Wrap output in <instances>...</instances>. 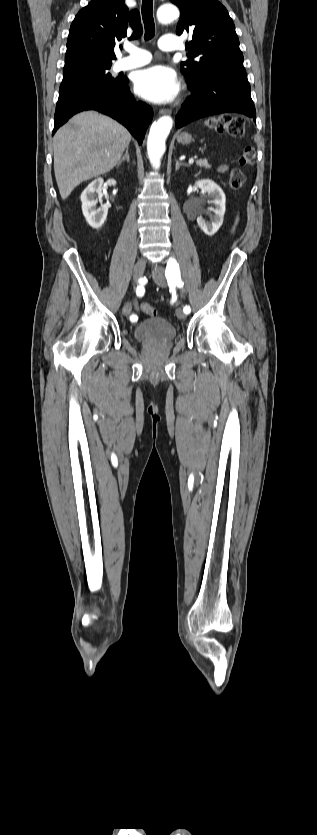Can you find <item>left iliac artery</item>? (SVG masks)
<instances>
[{
	"label": "left iliac artery",
	"instance_id": "1",
	"mask_svg": "<svg viewBox=\"0 0 317 835\" xmlns=\"http://www.w3.org/2000/svg\"><path fill=\"white\" fill-rule=\"evenodd\" d=\"M168 284L170 287L176 286L182 288L184 283L181 280L180 269L177 261L174 258H170L167 264L166 272H165ZM183 311L188 314L191 312V308L189 305H186L183 308Z\"/></svg>",
	"mask_w": 317,
	"mask_h": 835
}]
</instances>
